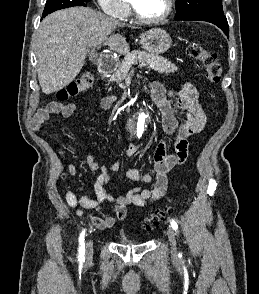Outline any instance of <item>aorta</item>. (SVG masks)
<instances>
[{"label":"aorta","instance_id":"aorta-1","mask_svg":"<svg viewBox=\"0 0 259 294\" xmlns=\"http://www.w3.org/2000/svg\"><path fill=\"white\" fill-rule=\"evenodd\" d=\"M149 116L147 113L141 112L133 121L132 132L138 137H144L148 130Z\"/></svg>","mask_w":259,"mask_h":294}]
</instances>
